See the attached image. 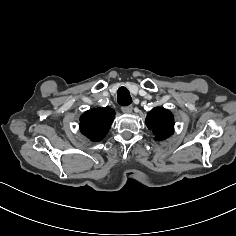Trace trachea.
Masks as SVG:
<instances>
[{
    "mask_svg": "<svg viewBox=\"0 0 236 236\" xmlns=\"http://www.w3.org/2000/svg\"><path fill=\"white\" fill-rule=\"evenodd\" d=\"M117 101L122 106H128L132 102L130 93L126 87H120L117 91Z\"/></svg>",
    "mask_w": 236,
    "mask_h": 236,
    "instance_id": "trachea-1",
    "label": "trachea"
}]
</instances>
